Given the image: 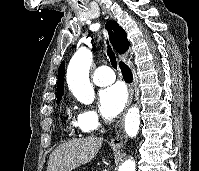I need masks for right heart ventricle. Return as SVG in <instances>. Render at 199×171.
Wrapping results in <instances>:
<instances>
[{"label":"right heart ventricle","instance_id":"obj_1","mask_svg":"<svg viewBox=\"0 0 199 171\" xmlns=\"http://www.w3.org/2000/svg\"><path fill=\"white\" fill-rule=\"evenodd\" d=\"M68 115H69V121H70L71 126L73 128H80L78 120H75L74 118H72L70 111H68Z\"/></svg>","mask_w":199,"mask_h":171}]
</instances>
